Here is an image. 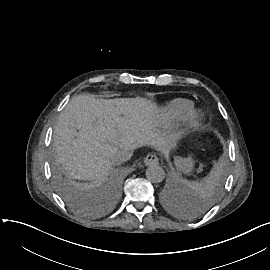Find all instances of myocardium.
<instances>
[{"label":"myocardium","mask_w":270,"mask_h":270,"mask_svg":"<svg viewBox=\"0 0 270 270\" xmlns=\"http://www.w3.org/2000/svg\"><path fill=\"white\" fill-rule=\"evenodd\" d=\"M199 118V113L198 112H193L191 114V117L189 119V122H188V125L191 127V126H194L196 124V121L197 119Z\"/></svg>","instance_id":"1"}]
</instances>
